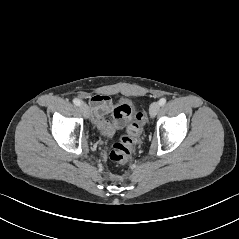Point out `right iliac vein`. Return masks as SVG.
I'll return each instance as SVG.
<instances>
[{
	"label": "right iliac vein",
	"instance_id": "1",
	"mask_svg": "<svg viewBox=\"0 0 239 239\" xmlns=\"http://www.w3.org/2000/svg\"><path fill=\"white\" fill-rule=\"evenodd\" d=\"M80 110L82 111L85 118H89L90 116V110L87 104L81 103L80 104Z\"/></svg>",
	"mask_w": 239,
	"mask_h": 239
}]
</instances>
